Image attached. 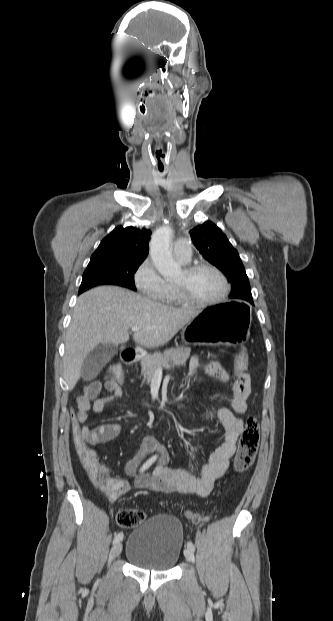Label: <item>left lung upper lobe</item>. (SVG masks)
Returning a JSON list of instances; mask_svg holds the SVG:
<instances>
[{"mask_svg":"<svg viewBox=\"0 0 333 621\" xmlns=\"http://www.w3.org/2000/svg\"><path fill=\"white\" fill-rule=\"evenodd\" d=\"M189 233L203 257L229 277L232 284L229 297L254 304L249 280L239 254L220 228L206 221Z\"/></svg>","mask_w":333,"mask_h":621,"instance_id":"left-lung-upper-lobe-1","label":"left lung upper lobe"}]
</instances>
